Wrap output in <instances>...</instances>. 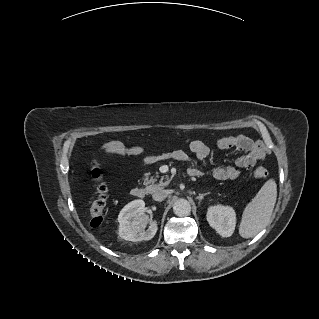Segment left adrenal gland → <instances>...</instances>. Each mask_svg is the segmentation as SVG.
<instances>
[{
  "label": "left adrenal gland",
  "instance_id": "left-adrenal-gland-1",
  "mask_svg": "<svg viewBox=\"0 0 319 319\" xmlns=\"http://www.w3.org/2000/svg\"><path fill=\"white\" fill-rule=\"evenodd\" d=\"M208 194H210V193H209V192L203 193V194L199 193L198 196L196 197V199H198L199 202H201L202 199L204 198V196H206V195H208Z\"/></svg>",
  "mask_w": 319,
  "mask_h": 319
}]
</instances>
